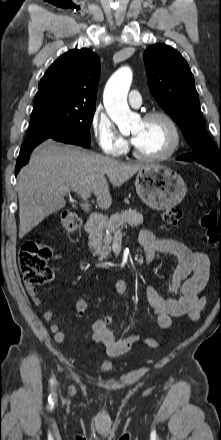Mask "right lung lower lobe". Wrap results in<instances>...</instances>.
I'll return each mask as SVG.
<instances>
[{"label": "right lung lower lobe", "mask_w": 221, "mask_h": 440, "mask_svg": "<svg viewBox=\"0 0 221 440\" xmlns=\"http://www.w3.org/2000/svg\"><path fill=\"white\" fill-rule=\"evenodd\" d=\"M45 140H56L59 142H64V143H68V144H75V145H80L79 143H77L76 141L67 139V138H51V137H38V138H33V139H27L21 147L19 156L17 158V163H16V167H15V175L17 176L18 172L20 171V169L26 165L29 161V155L31 153V151L41 142L45 141Z\"/></svg>", "instance_id": "obj_1"}]
</instances>
